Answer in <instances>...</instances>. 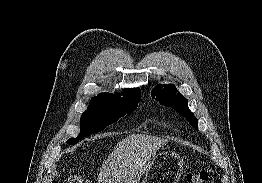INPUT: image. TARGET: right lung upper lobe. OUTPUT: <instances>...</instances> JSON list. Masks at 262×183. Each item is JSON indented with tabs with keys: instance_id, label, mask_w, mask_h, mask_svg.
<instances>
[{
	"instance_id": "obj_1",
	"label": "right lung upper lobe",
	"mask_w": 262,
	"mask_h": 183,
	"mask_svg": "<svg viewBox=\"0 0 262 183\" xmlns=\"http://www.w3.org/2000/svg\"><path fill=\"white\" fill-rule=\"evenodd\" d=\"M123 97L119 94H110V93H101L96 97L92 98V101H100L107 103H119L126 101H133L140 99V91L138 88L136 89H127L123 92Z\"/></svg>"
}]
</instances>
